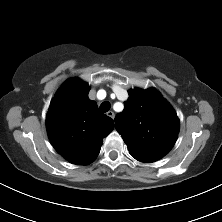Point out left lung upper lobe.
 Instances as JSON below:
<instances>
[{
	"label": "left lung upper lobe",
	"instance_id": "1",
	"mask_svg": "<svg viewBox=\"0 0 222 222\" xmlns=\"http://www.w3.org/2000/svg\"><path fill=\"white\" fill-rule=\"evenodd\" d=\"M124 110L115 117L116 129L136 160L149 163L165 156L179 133L172 106L154 88L129 90Z\"/></svg>",
	"mask_w": 222,
	"mask_h": 222
}]
</instances>
